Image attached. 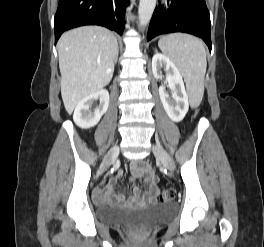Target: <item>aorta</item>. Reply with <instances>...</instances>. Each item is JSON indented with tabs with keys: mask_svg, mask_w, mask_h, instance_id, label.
<instances>
[{
	"mask_svg": "<svg viewBox=\"0 0 264 247\" xmlns=\"http://www.w3.org/2000/svg\"><path fill=\"white\" fill-rule=\"evenodd\" d=\"M157 0H140L138 9V19L140 26H146L154 12Z\"/></svg>",
	"mask_w": 264,
	"mask_h": 247,
	"instance_id": "aorta-1",
	"label": "aorta"
}]
</instances>
